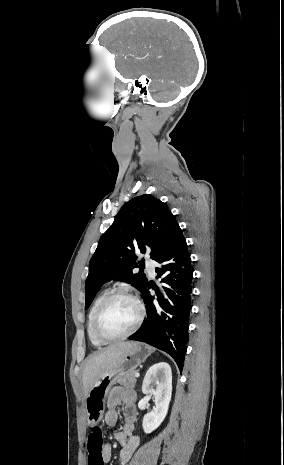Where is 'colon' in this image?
<instances>
[{
	"instance_id": "colon-1",
	"label": "colon",
	"mask_w": 284,
	"mask_h": 465,
	"mask_svg": "<svg viewBox=\"0 0 284 465\" xmlns=\"http://www.w3.org/2000/svg\"><path fill=\"white\" fill-rule=\"evenodd\" d=\"M89 437L90 439L87 444V451L89 452L87 464L103 465L100 453L103 447V440L99 439L104 437L103 427L101 425H96L94 429H90Z\"/></svg>"
}]
</instances>
